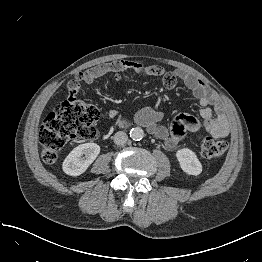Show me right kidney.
<instances>
[{"label": "right kidney", "instance_id": "right-kidney-1", "mask_svg": "<svg viewBox=\"0 0 262 262\" xmlns=\"http://www.w3.org/2000/svg\"><path fill=\"white\" fill-rule=\"evenodd\" d=\"M100 153V146L96 143H85L75 147L65 158L62 169L70 176L84 173Z\"/></svg>", "mask_w": 262, "mask_h": 262}]
</instances>
